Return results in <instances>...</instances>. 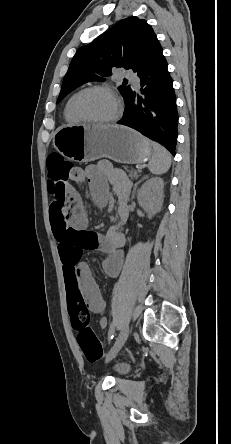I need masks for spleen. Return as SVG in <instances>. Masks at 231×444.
<instances>
[{"label": "spleen", "mask_w": 231, "mask_h": 444, "mask_svg": "<svg viewBox=\"0 0 231 444\" xmlns=\"http://www.w3.org/2000/svg\"><path fill=\"white\" fill-rule=\"evenodd\" d=\"M151 145L153 148V154L149 161L148 168L153 174H164L171 166V155L167 149L160 144L152 142Z\"/></svg>", "instance_id": "3e777b00"}]
</instances>
